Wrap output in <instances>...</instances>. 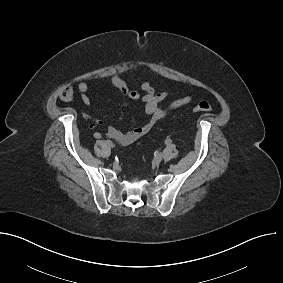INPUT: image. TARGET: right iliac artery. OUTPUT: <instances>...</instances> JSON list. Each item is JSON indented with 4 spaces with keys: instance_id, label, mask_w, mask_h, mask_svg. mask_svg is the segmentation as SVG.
Segmentation results:
<instances>
[{
    "instance_id": "right-iliac-artery-1",
    "label": "right iliac artery",
    "mask_w": 283,
    "mask_h": 283,
    "mask_svg": "<svg viewBox=\"0 0 283 283\" xmlns=\"http://www.w3.org/2000/svg\"><path fill=\"white\" fill-rule=\"evenodd\" d=\"M95 137H96L97 139H100V138H101V135H100L99 133H95Z\"/></svg>"
}]
</instances>
